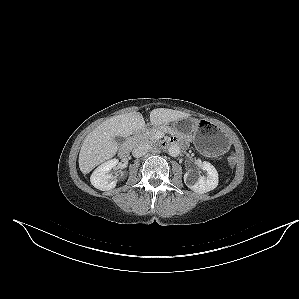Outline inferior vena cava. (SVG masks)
<instances>
[{
	"instance_id": "inferior-vena-cava-1",
	"label": "inferior vena cava",
	"mask_w": 299,
	"mask_h": 299,
	"mask_svg": "<svg viewBox=\"0 0 299 299\" xmlns=\"http://www.w3.org/2000/svg\"><path fill=\"white\" fill-rule=\"evenodd\" d=\"M151 149L152 147L150 145L140 144L133 149L132 154L134 157L139 158L144 156Z\"/></svg>"
}]
</instances>
